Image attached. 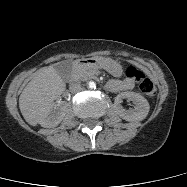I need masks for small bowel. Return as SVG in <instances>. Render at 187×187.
I'll list each match as a JSON object with an SVG mask.
<instances>
[{"label":"small bowel","mask_w":187,"mask_h":187,"mask_svg":"<svg viewBox=\"0 0 187 187\" xmlns=\"http://www.w3.org/2000/svg\"><path fill=\"white\" fill-rule=\"evenodd\" d=\"M110 91H123L131 90L134 87V80L131 78H125L122 80H111L106 85Z\"/></svg>","instance_id":"small-bowel-1"}]
</instances>
